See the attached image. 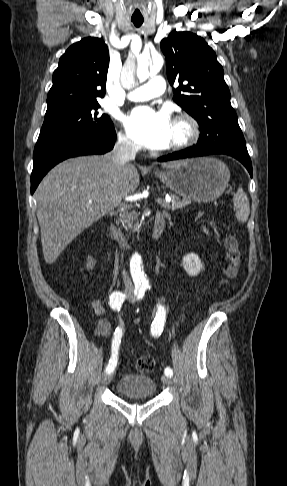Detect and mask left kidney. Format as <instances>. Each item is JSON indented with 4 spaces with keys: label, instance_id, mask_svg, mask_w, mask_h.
Instances as JSON below:
<instances>
[{
    "label": "left kidney",
    "instance_id": "5707ae66",
    "mask_svg": "<svg viewBox=\"0 0 287 486\" xmlns=\"http://www.w3.org/2000/svg\"><path fill=\"white\" fill-rule=\"evenodd\" d=\"M182 266L189 276H197L204 268L199 256L194 253L187 254L183 257Z\"/></svg>",
    "mask_w": 287,
    "mask_h": 486
}]
</instances>
